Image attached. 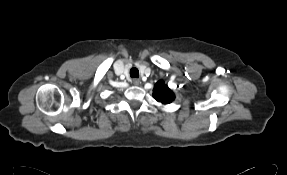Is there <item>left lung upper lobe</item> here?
<instances>
[{
    "label": "left lung upper lobe",
    "mask_w": 287,
    "mask_h": 175,
    "mask_svg": "<svg viewBox=\"0 0 287 175\" xmlns=\"http://www.w3.org/2000/svg\"><path fill=\"white\" fill-rule=\"evenodd\" d=\"M153 97L162 104H169L174 100L175 95L168 86L160 80L154 85Z\"/></svg>",
    "instance_id": "1"
}]
</instances>
